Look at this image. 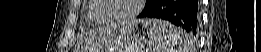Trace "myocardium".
Masks as SVG:
<instances>
[{
  "instance_id": "f54148a6",
  "label": "myocardium",
  "mask_w": 261,
  "mask_h": 52,
  "mask_svg": "<svg viewBox=\"0 0 261 52\" xmlns=\"http://www.w3.org/2000/svg\"><path fill=\"white\" fill-rule=\"evenodd\" d=\"M101 2V8L98 12V16L104 21L106 24H124V23H129L132 22L141 12L142 10V5H143V0H136L134 9L124 18L121 19H115V20H110L104 18V13L109 9V2L107 0H99Z\"/></svg>"
}]
</instances>
